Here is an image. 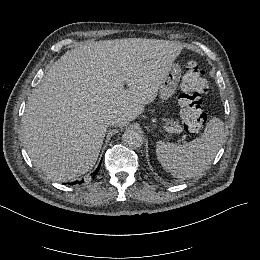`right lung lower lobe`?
I'll list each match as a JSON object with an SVG mask.
<instances>
[{
  "label": "right lung lower lobe",
  "instance_id": "98d812e1",
  "mask_svg": "<svg viewBox=\"0 0 260 260\" xmlns=\"http://www.w3.org/2000/svg\"><path fill=\"white\" fill-rule=\"evenodd\" d=\"M99 168H100V165L98 166V168L96 169V171L92 174L93 177L97 174V172L99 171ZM82 182H83V180H82V181H75V182H73V183H70V185L81 184Z\"/></svg>",
  "mask_w": 260,
  "mask_h": 260
}]
</instances>
